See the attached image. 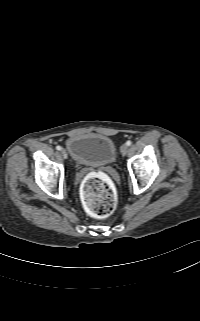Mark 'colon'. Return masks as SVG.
<instances>
[{
    "label": "colon",
    "instance_id": "1",
    "mask_svg": "<svg viewBox=\"0 0 200 321\" xmlns=\"http://www.w3.org/2000/svg\"><path fill=\"white\" fill-rule=\"evenodd\" d=\"M82 198L88 213L105 218L113 213L117 198L109 179L101 172L89 174L82 184Z\"/></svg>",
    "mask_w": 200,
    "mask_h": 321
}]
</instances>
